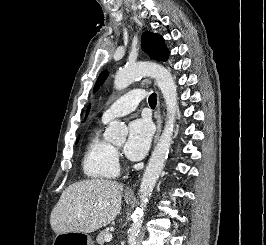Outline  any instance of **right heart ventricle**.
Wrapping results in <instances>:
<instances>
[{
	"instance_id": "1",
	"label": "right heart ventricle",
	"mask_w": 266,
	"mask_h": 245,
	"mask_svg": "<svg viewBox=\"0 0 266 245\" xmlns=\"http://www.w3.org/2000/svg\"><path fill=\"white\" fill-rule=\"evenodd\" d=\"M84 175L97 182H109L120 175V166L113 147L100 136L96 127L88 136L82 160Z\"/></svg>"
}]
</instances>
